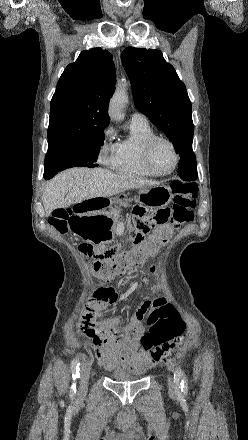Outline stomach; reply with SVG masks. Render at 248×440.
<instances>
[{
	"label": "stomach",
	"instance_id": "stomach-1",
	"mask_svg": "<svg viewBox=\"0 0 248 440\" xmlns=\"http://www.w3.org/2000/svg\"><path fill=\"white\" fill-rule=\"evenodd\" d=\"M139 199L145 200L151 207L159 208L168 205L172 199L171 189L163 184L143 187ZM126 205L127 194L124 192L109 200L106 197L93 198L84 201V204H74V213H79V218H70V232L75 237H81L85 246H109L113 219L110 218L108 209H104L108 202Z\"/></svg>",
	"mask_w": 248,
	"mask_h": 440
}]
</instances>
